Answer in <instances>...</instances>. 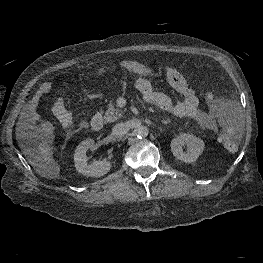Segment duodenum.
<instances>
[{
    "mask_svg": "<svg viewBox=\"0 0 263 263\" xmlns=\"http://www.w3.org/2000/svg\"><path fill=\"white\" fill-rule=\"evenodd\" d=\"M90 125L93 131H100L104 126V119L102 114L97 112L91 119Z\"/></svg>",
    "mask_w": 263,
    "mask_h": 263,
    "instance_id": "410a0bca",
    "label": "duodenum"
}]
</instances>
